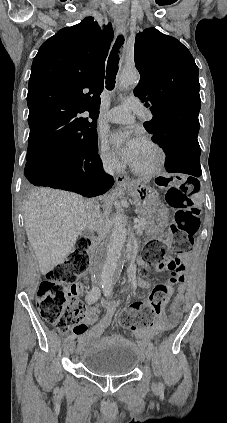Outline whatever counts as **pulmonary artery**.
Instances as JSON below:
<instances>
[{
	"instance_id": "e3ab8cb5",
	"label": "pulmonary artery",
	"mask_w": 227,
	"mask_h": 423,
	"mask_svg": "<svg viewBox=\"0 0 227 423\" xmlns=\"http://www.w3.org/2000/svg\"><path fill=\"white\" fill-rule=\"evenodd\" d=\"M136 110V103L132 100H126L121 105L112 108L106 113V120L117 124H130L134 121L133 113ZM137 120H152V111H137L135 113Z\"/></svg>"
}]
</instances>
